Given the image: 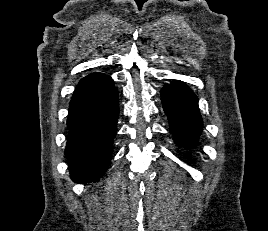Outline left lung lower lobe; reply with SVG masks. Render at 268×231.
Segmentation results:
<instances>
[{"label": "left lung lower lobe", "mask_w": 268, "mask_h": 231, "mask_svg": "<svg viewBox=\"0 0 268 231\" xmlns=\"http://www.w3.org/2000/svg\"><path fill=\"white\" fill-rule=\"evenodd\" d=\"M160 93L176 144L184 148L195 147L203 128L197 96L179 80L167 84Z\"/></svg>", "instance_id": "obj_1"}]
</instances>
